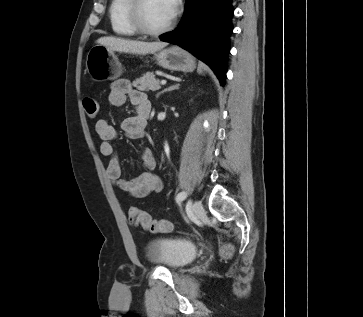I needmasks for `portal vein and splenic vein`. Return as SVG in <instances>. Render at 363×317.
<instances>
[{"mask_svg": "<svg viewBox=\"0 0 363 317\" xmlns=\"http://www.w3.org/2000/svg\"><path fill=\"white\" fill-rule=\"evenodd\" d=\"M165 84H166V80H162L161 85H165Z\"/></svg>", "mask_w": 363, "mask_h": 317, "instance_id": "obj_1", "label": "portal vein and splenic vein"}]
</instances>
